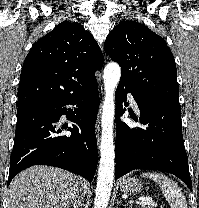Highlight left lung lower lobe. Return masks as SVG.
Masks as SVG:
<instances>
[{
	"label": "left lung lower lobe",
	"mask_w": 199,
	"mask_h": 208,
	"mask_svg": "<svg viewBox=\"0 0 199 208\" xmlns=\"http://www.w3.org/2000/svg\"><path fill=\"white\" fill-rule=\"evenodd\" d=\"M128 92L139 107L140 122L145 125L144 128H130L118 118L125 112L122 104ZM115 99V179L134 169L159 170L176 175L191 190L182 136L181 106L151 100L120 82Z\"/></svg>",
	"instance_id": "obj_1"
}]
</instances>
